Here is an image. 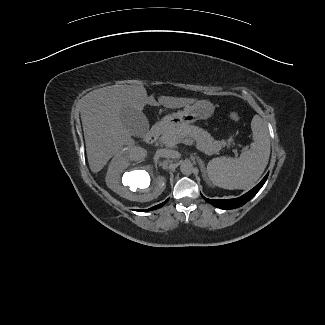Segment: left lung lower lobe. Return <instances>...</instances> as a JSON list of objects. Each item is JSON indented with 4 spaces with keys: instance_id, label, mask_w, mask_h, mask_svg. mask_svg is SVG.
Segmentation results:
<instances>
[{
    "instance_id": "obj_1",
    "label": "left lung lower lobe",
    "mask_w": 325,
    "mask_h": 325,
    "mask_svg": "<svg viewBox=\"0 0 325 325\" xmlns=\"http://www.w3.org/2000/svg\"><path fill=\"white\" fill-rule=\"evenodd\" d=\"M267 175L261 180L260 183H258L253 189H251L246 194L242 195L241 197L235 198V199H227V200H218V199H207L203 197L208 203L220 208V209H234L238 208L242 205H244L246 202H248L252 197L256 195V193L261 189V187L264 185L265 181L267 180Z\"/></svg>"
}]
</instances>
